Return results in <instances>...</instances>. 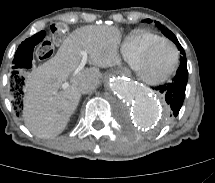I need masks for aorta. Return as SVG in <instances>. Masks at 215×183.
<instances>
[{"label": "aorta", "mask_w": 215, "mask_h": 183, "mask_svg": "<svg viewBox=\"0 0 215 183\" xmlns=\"http://www.w3.org/2000/svg\"><path fill=\"white\" fill-rule=\"evenodd\" d=\"M106 86L116 101L126 108H132L131 113L138 125L152 127L161 121L162 106L140 84L122 76L111 75L107 77Z\"/></svg>", "instance_id": "762f6f07"}]
</instances>
